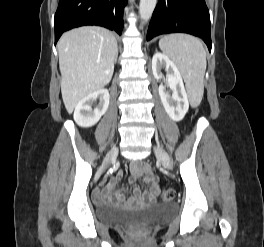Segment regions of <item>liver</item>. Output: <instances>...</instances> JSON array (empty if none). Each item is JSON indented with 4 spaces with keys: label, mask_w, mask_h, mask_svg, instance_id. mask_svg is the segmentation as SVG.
I'll return each mask as SVG.
<instances>
[{
    "label": "liver",
    "mask_w": 264,
    "mask_h": 247,
    "mask_svg": "<svg viewBox=\"0 0 264 247\" xmlns=\"http://www.w3.org/2000/svg\"><path fill=\"white\" fill-rule=\"evenodd\" d=\"M57 47L62 99L68 113H72L83 98L110 82L117 41L107 29L87 26L64 33Z\"/></svg>",
    "instance_id": "6515ba94"
}]
</instances>
